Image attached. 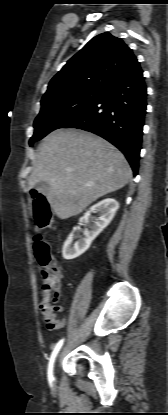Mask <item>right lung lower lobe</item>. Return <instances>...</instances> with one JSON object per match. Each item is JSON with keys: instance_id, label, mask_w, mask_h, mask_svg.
Here are the masks:
<instances>
[{"instance_id": "1", "label": "right lung lower lobe", "mask_w": 168, "mask_h": 415, "mask_svg": "<svg viewBox=\"0 0 168 415\" xmlns=\"http://www.w3.org/2000/svg\"><path fill=\"white\" fill-rule=\"evenodd\" d=\"M146 85L140 64L112 81L101 96L60 128L95 133L116 146L137 175L146 114Z\"/></svg>"}]
</instances>
